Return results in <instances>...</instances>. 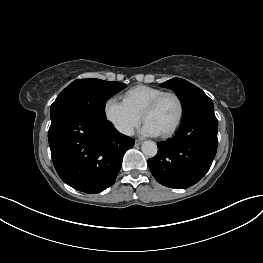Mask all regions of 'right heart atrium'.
I'll return each instance as SVG.
<instances>
[{
    "instance_id": "right-heart-atrium-1",
    "label": "right heart atrium",
    "mask_w": 263,
    "mask_h": 263,
    "mask_svg": "<svg viewBox=\"0 0 263 263\" xmlns=\"http://www.w3.org/2000/svg\"><path fill=\"white\" fill-rule=\"evenodd\" d=\"M104 115L114 129L122 135H130L141 121V116L117 97H110L106 100Z\"/></svg>"
}]
</instances>
